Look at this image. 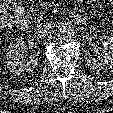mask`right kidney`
Wrapping results in <instances>:
<instances>
[{"mask_svg":"<svg viewBox=\"0 0 113 113\" xmlns=\"http://www.w3.org/2000/svg\"><path fill=\"white\" fill-rule=\"evenodd\" d=\"M24 46V40L20 37L16 38L8 47L7 65L10 72L16 75L31 72L38 65V54L36 52H32L27 60H23Z\"/></svg>","mask_w":113,"mask_h":113,"instance_id":"obj_1","label":"right kidney"}]
</instances>
